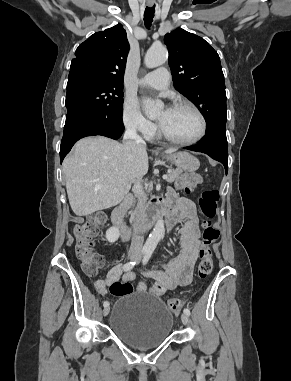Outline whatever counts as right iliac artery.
Here are the masks:
<instances>
[{
    "label": "right iliac artery",
    "instance_id": "82829eb1",
    "mask_svg": "<svg viewBox=\"0 0 291 381\" xmlns=\"http://www.w3.org/2000/svg\"><path fill=\"white\" fill-rule=\"evenodd\" d=\"M145 253H146V250H142L141 255H144ZM137 262H138V260H133V261H129V262L125 263L123 265V270L124 271H130L136 265ZM103 306L104 307L109 306V302L104 301Z\"/></svg>",
    "mask_w": 291,
    "mask_h": 381
}]
</instances>
